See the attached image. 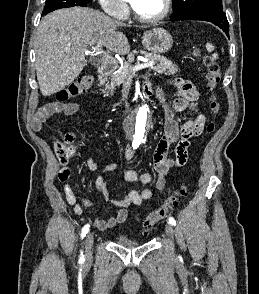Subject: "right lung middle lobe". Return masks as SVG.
<instances>
[{
  "label": "right lung middle lobe",
  "instance_id": "obj_1",
  "mask_svg": "<svg viewBox=\"0 0 259 294\" xmlns=\"http://www.w3.org/2000/svg\"><path fill=\"white\" fill-rule=\"evenodd\" d=\"M92 0H46L42 15H46L60 8L84 6L86 7Z\"/></svg>",
  "mask_w": 259,
  "mask_h": 294
}]
</instances>
